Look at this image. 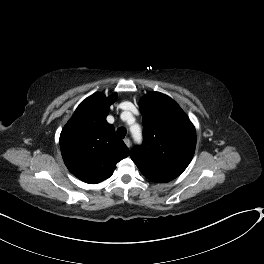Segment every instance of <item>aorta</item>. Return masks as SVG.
Instances as JSON below:
<instances>
[{"mask_svg":"<svg viewBox=\"0 0 264 264\" xmlns=\"http://www.w3.org/2000/svg\"><path fill=\"white\" fill-rule=\"evenodd\" d=\"M135 129H137V130H135ZM131 132H132V135H133L134 139L136 141H140V139H141V131H140L139 126H132L131 127Z\"/></svg>","mask_w":264,"mask_h":264,"instance_id":"aorta-1","label":"aorta"}]
</instances>
